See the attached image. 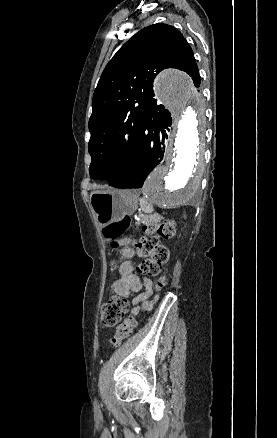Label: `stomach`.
Returning a JSON list of instances; mask_svg holds the SVG:
<instances>
[{
    "mask_svg": "<svg viewBox=\"0 0 277 438\" xmlns=\"http://www.w3.org/2000/svg\"><path fill=\"white\" fill-rule=\"evenodd\" d=\"M90 204L102 227L132 215L138 208L137 198L132 191L122 189L93 192L90 196ZM106 241L110 243L112 239L107 238ZM121 243L127 244L125 240H121Z\"/></svg>",
    "mask_w": 277,
    "mask_h": 438,
    "instance_id": "stomach-1",
    "label": "stomach"
}]
</instances>
